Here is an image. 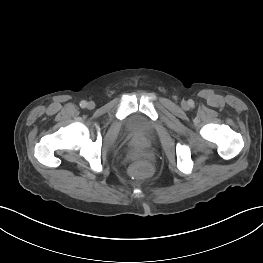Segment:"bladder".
<instances>
[{
    "label": "bladder",
    "instance_id": "31cf9c89",
    "mask_svg": "<svg viewBox=\"0 0 263 263\" xmlns=\"http://www.w3.org/2000/svg\"><path fill=\"white\" fill-rule=\"evenodd\" d=\"M127 136L139 141H149L154 136L152 122L140 114H133L128 117L125 124Z\"/></svg>",
    "mask_w": 263,
    "mask_h": 263
}]
</instances>
